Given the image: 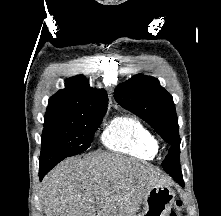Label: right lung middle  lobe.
<instances>
[{
	"label": "right lung middle lobe",
	"instance_id": "right-lung-middle-lobe-1",
	"mask_svg": "<svg viewBox=\"0 0 221 216\" xmlns=\"http://www.w3.org/2000/svg\"><path fill=\"white\" fill-rule=\"evenodd\" d=\"M105 113L89 114L70 122L44 125L40 166L54 167L64 158L87 150Z\"/></svg>",
	"mask_w": 221,
	"mask_h": 216
}]
</instances>
